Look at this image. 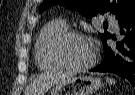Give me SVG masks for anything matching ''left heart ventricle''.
Segmentation results:
<instances>
[{"label":"left heart ventricle","instance_id":"b2bd125f","mask_svg":"<svg viewBox=\"0 0 135 95\" xmlns=\"http://www.w3.org/2000/svg\"><path fill=\"white\" fill-rule=\"evenodd\" d=\"M93 56V49L87 39L73 38L64 47V57L75 65L87 63Z\"/></svg>","mask_w":135,"mask_h":95}]
</instances>
